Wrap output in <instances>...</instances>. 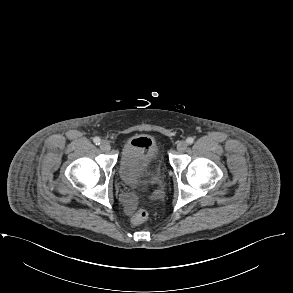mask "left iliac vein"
I'll return each mask as SVG.
<instances>
[{"label": "left iliac vein", "instance_id": "1", "mask_svg": "<svg viewBox=\"0 0 293 293\" xmlns=\"http://www.w3.org/2000/svg\"><path fill=\"white\" fill-rule=\"evenodd\" d=\"M187 142L186 141H180L178 144H177V150L179 152H184L186 149H187Z\"/></svg>", "mask_w": 293, "mask_h": 293}]
</instances>
